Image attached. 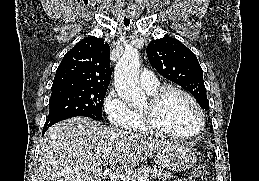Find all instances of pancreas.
<instances>
[{
	"instance_id": "1",
	"label": "pancreas",
	"mask_w": 259,
	"mask_h": 181,
	"mask_svg": "<svg viewBox=\"0 0 259 181\" xmlns=\"http://www.w3.org/2000/svg\"><path fill=\"white\" fill-rule=\"evenodd\" d=\"M171 177H172V174L170 172L158 170L157 168L143 166L134 170L131 178H133L134 180L138 179V181L141 178H150V179L153 178V179H159V181H165L166 179H169Z\"/></svg>"
}]
</instances>
